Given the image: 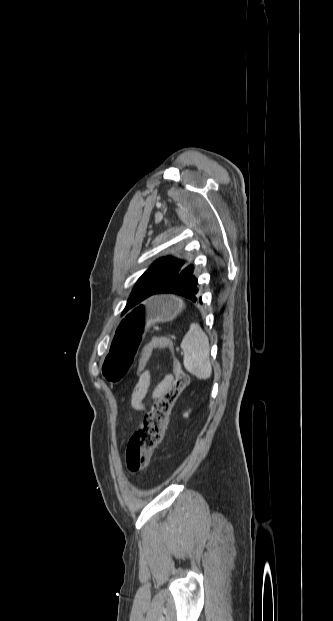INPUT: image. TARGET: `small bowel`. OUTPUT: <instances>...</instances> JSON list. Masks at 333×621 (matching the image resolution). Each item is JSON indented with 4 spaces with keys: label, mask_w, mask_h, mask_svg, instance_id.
Segmentation results:
<instances>
[{
    "label": "small bowel",
    "mask_w": 333,
    "mask_h": 621,
    "mask_svg": "<svg viewBox=\"0 0 333 621\" xmlns=\"http://www.w3.org/2000/svg\"><path fill=\"white\" fill-rule=\"evenodd\" d=\"M154 375L152 371H144L134 389L132 395V405L135 409L144 411L146 410L145 398L149 392V389L153 383ZM172 385V376L165 375L161 381L156 385L153 391V398L157 399L165 393Z\"/></svg>",
    "instance_id": "c3829d8e"
}]
</instances>
